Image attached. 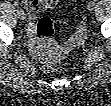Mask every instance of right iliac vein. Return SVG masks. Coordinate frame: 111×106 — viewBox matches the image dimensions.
<instances>
[{"label":"right iliac vein","mask_w":111,"mask_h":106,"mask_svg":"<svg viewBox=\"0 0 111 106\" xmlns=\"http://www.w3.org/2000/svg\"><path fill=\"white\" fill-rule=\"evenodd\" d=\"M17 15L20 19H24L25 18V13L23 10H17Z\"/></svg>","instance_id":"right-iliac-vein-1"}]
</instances>
